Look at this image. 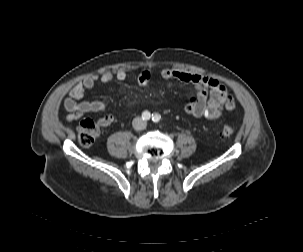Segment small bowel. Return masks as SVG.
Here are the masks:
<instances>
[{
	"label": "small bowel",
	"instance_id": "1",
	"mask_svg": "<svg viewBox=\"0 0 303 252\" xmlns=\"http://www.w3.org/2000/svg\"><path fill=\"white\" fill-rule=\"evenodd\" d=\"M160 76L165 80H175L185 84H192L196 94L193 95L185 106V112L193 118L216 119L223 111H232L236 107L234 97L228 89L217 79L185 71L163 68L159 71ZM152 76L150 69H143L137 75V82L140 86L148 85ZM127 78L125 70L117 72L106 71L101 75H90L81 82L75 84L69 90L68 96L64 99L63 106L67 110V120H78L86 114L98 113L106 108L103 101H80L86 91L96 88L100 84H106L113 80L124 81ZM113 116L104 115L99 119L103 127L113 122Z\"/></svg>",
	"mask_w": 303,
	"mask_h": 252
}]
</instances>
